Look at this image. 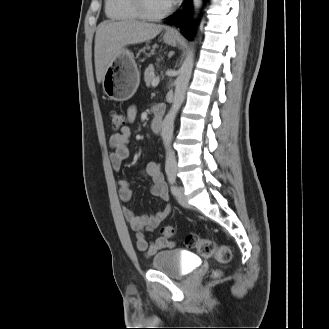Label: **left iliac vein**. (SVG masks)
Returning <instances> with one entry per match:
<instances>
[{
	"label": "left iliac vein",
	"instance_id": "obj_1",
	"mask_svg": "<svg viewBox=\"0 0 329 329\" xmlns=\"http://www.w3.org/2000/svg\"><path fill=\"white\" fill-rule=\"evenodd\" d=\"M177 201L179 202V204L185 208H190V204L188 203L185 195H184V188L183 187H179L178 188V194L176 195Z\"/></svg>",
	"mask_w": 329,
	"mask_h": 329
}]
</instances>
